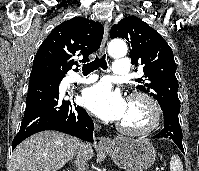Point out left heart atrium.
<instances>
[{
	"mask_svg": "<svg viewBox=\"0 0 199 171\" xmlns=\"http://www.w3.org/2000/svg\"><path fill=\"white\" fill-rule=\"evenodd\" d=\"M83 105L94 115L105 121H120L126 111L127 102L119 90L107 82H100L82 95Z\"/></svg>",
	"mask_w": 199,
	"mask_h": 171,
	"instance_id": "1",
	"label": "left heart atrium"
}]
</instances>
